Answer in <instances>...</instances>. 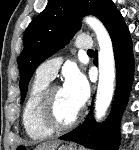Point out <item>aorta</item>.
Wrapping results in <instances>:
<instances>
[{
  "label": "aorta",
  "mask_w": 139,
  "mask_h": 150,
  "mask_svg": "<svg viewBox=\"0 0 139 150\" xmlns=\"http://www.w3.org/2000/svg\"><path fill=\"white\" fill-rule=\"evenodd\" d=\"M85 22L96 34L100 50L98 52L99 81L95 100V118L101 121L110 106L115 81V59L113 45L102 22L93 16L85 17Z\"/></svg>",
  "instance_id": "762f6f07"
}]
</instances>
